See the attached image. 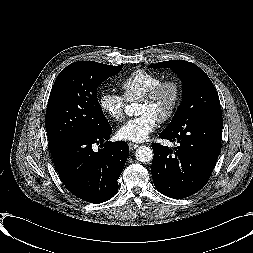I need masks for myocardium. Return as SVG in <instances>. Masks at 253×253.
<instances>
[{"instance_id": "f54148a6", "label": "myocardium", "mask_w": 253, "mask_h": 253, "mask_svg": "<svg viewBox=\"0 0 253 253\" xmlns=\"http://www.w3.org/2000/svg\"><path fill=\"white\" fill-rule=\"evenodd\" d=\"M166 87H172L175 92V98L173 101L172 106L169 108V110L161 116L157 121L159 123H165L169 121L177 112L183 96V90L181 84L175 80V79H166L162 80L158 84H156L154 87H152L144 96H142L139 101L150 103L154 101L158 95L161 93V91Z\"/></svg>"}]
</instances>
